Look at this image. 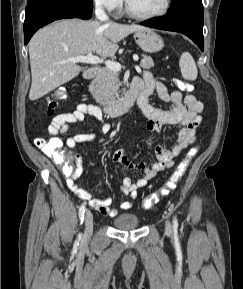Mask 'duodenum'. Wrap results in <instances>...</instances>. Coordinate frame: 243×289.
<instances>
[{
  "label": "duodenum",
  "instance_id": "410a0bca",
  "mask_svg": "<svg viewBox=\"0 0 243 289\" xmlns=\"http://www.w3.org/2000/svg\"><path fill=\"white\" fill-rule=\"evenodd\" d=\"M99 73L97 67H89L84 72V78L91 80ZM147 94L138 88L131 87L128 94L122 99H112L104 102V112L111 117L118 116L122 113L132 110L135 106L140 108L142 101Z\"/></svg>",
  "mask_w": 243,
  "mask_h": 289
}]
</instances>
